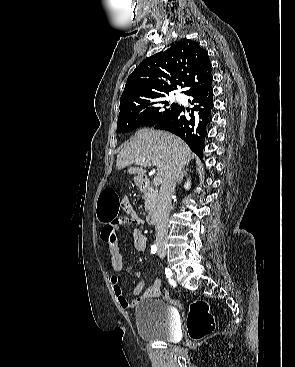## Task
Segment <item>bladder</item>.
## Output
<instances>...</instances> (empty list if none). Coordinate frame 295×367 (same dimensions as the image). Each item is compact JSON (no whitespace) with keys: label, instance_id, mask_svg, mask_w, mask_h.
<instances>
[{"label":"bladder","instance_id":"obj_1","mask_svg":"<svg viewBox=\"0 0 295 367\" xmlns=\"http://www.w3.org/2000/svg\"><path fill=\"white\" fill-rule=\"evenodd\" d=\"M136 329L145 340L172 342L177 338V313L167 302L145 299L135 311Z\"/></svg>","mask_w":295,"mask_h":367}]
</instances>
